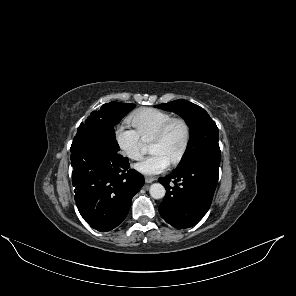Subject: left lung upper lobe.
Here are the masks:
<instances>
[{
	"instance_id": "1",
	"label": "left lung upper lobe",
	"mask_w": 296,
	"mask_h": 296,
	"mask_svg": "<svg viewBox=\"0 0 296 296\" xmlns=\"http://www.w3.org/2000/svg\"><path fill=\"white\" fill-rule=\"evenodd\" d=\"M155 107L179 114L190 126L187 156L180 167L203 156L220 154L218 128L203 108L186 100H176Z\"/></svg>"
}]
</instances>
